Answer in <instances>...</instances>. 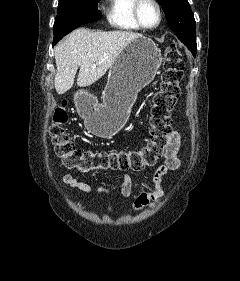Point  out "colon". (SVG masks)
<instances>
[{
	"label": "colon",
	"mask_w": 240,
	"mask_h": 281,
	"mask_svg": "<svg viewBox=\"0 0 240 281\" xmlns=\"http://www.w3.org/2000/svg\"><path fill=\"white\" fill-rule=\"evenodd\" d=\"M182 75V53L176 44H170L165 51L161 85L152 97L150 138L145 145L135 150L90 151L77 147L67 132L68 112L66 102H62L55 110L50 128L56 155L66 167L85 172L141 171L154 166L167 153L171 133L170 113L179 97Z\"/></svg>",
	"instance_id": "obj_1"
}]
</instances>
